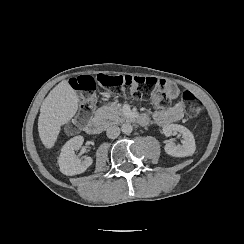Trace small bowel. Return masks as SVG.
<instances>
[{"label": "small bowel", "instance_id": "small-bowel-1", "mask_svg": "<svg viewBox=\"0 0 244 244\" xmlns=\"http://www.w3.org/2000/svg\"><path fill=\"white\" fill-rule=\"evenodd\" d=\"M166 90L170 100L176 99L179 95V89L173 83H168ZM184 112V103L178 101L167 108L155 111L154 119L158 125L165 126L180 121L184 117Z\"/></svg>", "mask_w": 244, "mask_h": 244}]
</instances>
